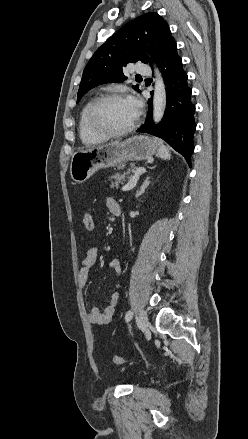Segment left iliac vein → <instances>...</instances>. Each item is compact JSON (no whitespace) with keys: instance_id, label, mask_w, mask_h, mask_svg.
I'll return each instance as SVG.
<instances>
[{"instance_id":"left-iliac-vein-1","label":"left iliac vein","mask_w":248,"mask_h":439,"mask_svg":"<svg viewBox=\"0 0 248 439\" xmlns=\"http://www.w3.org/2000/svg\"><path fill=\"white\" fill-rule=\"evenodd\" d=\"M137 322L143 330H146L148 328L149 326L148 316L144 310H141L139 312L137 316Z\"/></svg>"}]
</instances>
